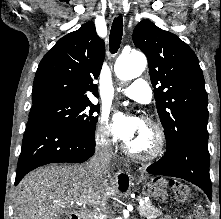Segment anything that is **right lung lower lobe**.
Wrapping results in <instances>:
<instances>
[{
  "label": "right lung lower lobe",
  "mask_w": 221,
  "mask_h": 219,
  "mask_svg": "<svg viewBox=\"0 0 221 219\" xmlns=\"http://www.w3.org/2000/svg\"><path fill=\"white\" fill-rule=\"evenodd\" d=\"M95 138L58 124L29 119L18 160L15 185L31 170L56 162L82 163L94 154Z\"/></svg>",
  "instance_id": "1"
}]
</instances>
